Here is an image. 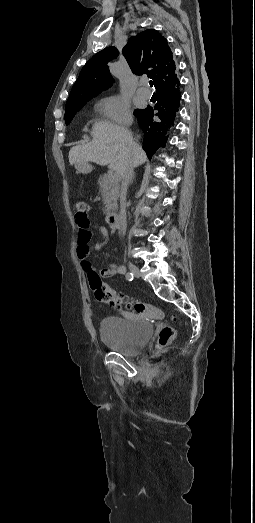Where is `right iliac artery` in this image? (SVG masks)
<instances>
[{"label": "right iliac artery", "instance_id": "right-iliac-artery-1", "mask_svg": "<svg viewBox=\"0 0 255 523\" xmlns=\"http://www.w3.org/2000/svg\"><path fill=\"white\" fill-rule=\"evenodd\" d=\"M133 278H134L133 273H130V272H129V273L126 274V279H127L128 281H132Z\"/></svg>", "mask_w": 255, "mask_h": 523}]
</instances>
